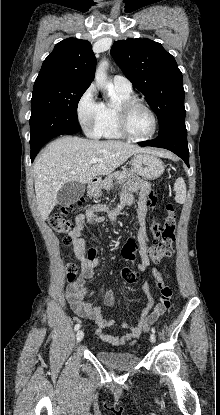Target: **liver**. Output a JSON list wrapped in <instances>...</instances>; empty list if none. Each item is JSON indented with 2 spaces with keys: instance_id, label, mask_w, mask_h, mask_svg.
Listing matches in <instances>:
<instances>
[{
  "instance_id": "obj_1",
  "label": "liver",
  "mask_w": 220,
  "mask_h": 415,
  "mask_svg": "<svg viewBox=\"0 0 220 415\" xmlns=\"http://www.w3.org/2000/svg\"><path fill=\"white\" fill-rule=\"evenodd\" d=\"M150 153L133 144L121 141H98L65 136L51 142L37 157L33 166L37 205L46 220L57 203L58 191L67 183H91L100 175H109L129 157ZM165 156L167 153L157 152ZM92 158H98L91 164Z\"/></svg>"
}]
</instances>
